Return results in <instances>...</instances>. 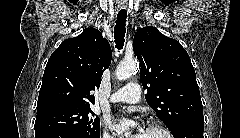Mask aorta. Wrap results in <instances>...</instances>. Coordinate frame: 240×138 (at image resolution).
Listing matches in <instances>:
<instances>
[{"label": "aorta", "instance_id": "aorta-1", "mask_svg": "<svg viewBox=\"0 0 240 138\" xmlns=\"http://www.w3.org/2000/svg\"><path fill=\"white\" fill-rule=\"evenodd\" d=\"M139 64L137 60H123L116 68L115 76L118 80H126L131 77L138 69Z\"/></svg>", "mask_w": 240, "mask_h": 138}]
</instances>
